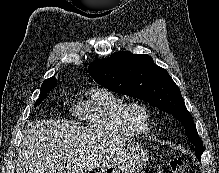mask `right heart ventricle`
<instances>
[{"label":"right heart ventricle","instance_id":"1","mask_svg":"<svg viewBox=\"0 0 219 173\" xmlns=\"http://www.w3.org/2000/svg\"><path fill=\"white\" fill-rule=\"evenodd\" d=\"M126 100L104 87H92L74 105L75 116L87 126L115 135L136 136L124 120Z\"/></svg>","mask_w":219,"mask_h":173}]
</instances>
